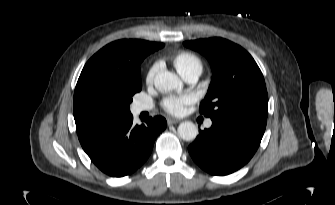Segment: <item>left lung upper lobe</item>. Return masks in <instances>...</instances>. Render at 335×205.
I'll list each match as a JSON object with an SVG mask.
<instances>
[{
  "instance_id": "left-lung-upper-lobe-1",
  "label": "left lung upper lobe",
  "mask_w": 335,
  "mask_h": 205,
  "mask_svg": "<svg viewBox=\"0 0 335 205\" xmlns=\"http://www.w3.org/2000/svg\"><path fill=\"white\" fill-rule=\"evenodd\" d=\"M184 45L208 59L212 80L200 113L239 120L265 129L268 94L262 72L252 56L223 38L186 41Z\"/></svg>"
}]
</instances>
